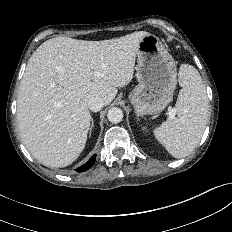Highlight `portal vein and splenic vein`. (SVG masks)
I'll return each mask as SVG.
<instances>
[{
  "instance_id": "portal-vein-and-splenic-vein-1",
  "label": "portal vein and splenic vein",
  "mask_w": 232,
  "mask_h": 232,
  "mask_svg": "<svg viewBox=\"0 0 232 232\" xmlns=\"http://www.w3.org/2000/svg\"><path fill=\"white\" fill-rule=\"evenodd\" d=\"M175 113L173 111L169 112L170 117H174Z\"/></svg>"
}]
</instances>
